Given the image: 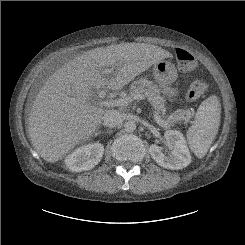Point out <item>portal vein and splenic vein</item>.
Wrapping results in <instances>:
<instances>
[{
	"label": "portal vein and splenic vein",
	"instance_id": "portal-vein-and-splenic-vein-1",
	"mask_svg": "<svg viewBox=\"0 0 245 245\" xmlns=\"http://www.w3.org/2000/svg\"><path fill=\"white\" fill-rule=\"evenodd\" d=\"M112 69H104L103 73L110 74ZM98 96L103 98L105 96L104 91H100ZM134 100H145V96L142 94H133L131 96H127L125 98H120L118 100H110V101H100L98 105L100 106H128L129 103L133 102ZM155 121L162 127H169L168 123L164 121L161 116L156 112L153 111Z\"/></svg>",
	"mask_w": 245,
	"mask_h": 245
}]
</instances>
